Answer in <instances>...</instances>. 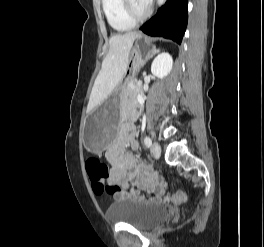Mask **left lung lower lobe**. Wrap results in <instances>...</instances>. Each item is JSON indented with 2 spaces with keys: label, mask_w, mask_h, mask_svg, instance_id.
<instances>
[{
  "label": "left lung lower lobe",
  "mask_w": 264,
  "mask_h": 247,
  "mask_svg": "<svg viewBox=\"0 0 264 247\" xmlns=\"http://www.w3.org/2000/svg\"><path fill=\"white\" fill-rule=\"evenodd\" d=\"M187 0H168L156 15L140 28L145 34L181 44L187 26Z\"/></svg>",
  "instance_id": "0a47b994"
}]
</instances>
